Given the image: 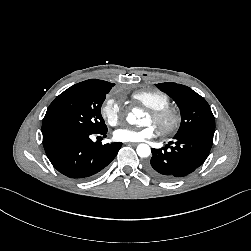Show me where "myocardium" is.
I'll return each instance as SVG.
<instances>
[{
    "mask_svg": "<svg viewBox=\"0 0 251 251\" xmlns=\"http://www.w3.org/2000/svg\"><path fill=\"white\" fill-rule=\"evenodd\" d=\"M150 117L159 132L163 135H168L176 131L181 122L180 114L170 107L151 110Z\"/></svg>",
    "mask_w": 251,
    "mask_h": 251,
    "instance_id": "f54148a6",
    "label": "myocardium"
}]
</instances>
